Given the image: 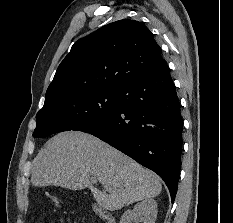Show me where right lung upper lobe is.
Wrapping results in <instances>:
<instances>
[{"instance_id": "cb5924a9", "label": "right lung upper lobe", "mask_w": 233, "mask_h": 223, "mask_svg": "<svg viewBox=\"0 0 233 223\" xmlns=\"http://www.w3.org/2000/svg\"><path fill=\"white\" fill-rule=\"evenodd\" d=\"M166 61L142 23L123 19L74 43L49 85L45 103L92 88H121L161 70Z\"/></svg>"}]
</instances>
